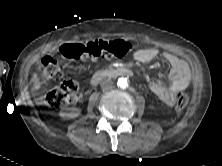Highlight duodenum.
Wrapping results in <instances>:
<instances>
[{
  "instance_id": "1",
  "label": "duodenum",
  "mask_w": 222,
  "mask_h": 166,
  "mask_svg": "<svg viewBox=\"0 0 222 166\" xmlns=\"http://www.w3.org/2000/svg\"><path fill=\"white\" fill-rule=\"evenodd\" d=\"M130 76L132 71L126 67H117L105 71L96 72L91 78V85L96 86L102 79L110 76Z\"/></svg>"
}]
</instances>
